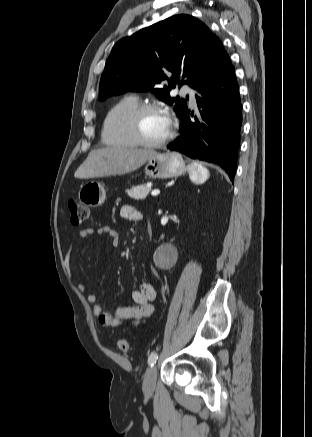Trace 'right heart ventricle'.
<instances>
[{
  "instance_id": "e07e8e85",
  "label": "right heart ventricle",
  "mask_w": 312,
  "mask_h": 437,
  "mask_svg": "<svg viewBox=\"0 0 312 437\" xmlns=\"http://www.w3.org/2000/svg\"><path fill=\"white\" fill-rule=\"evenodd\" d=\"M136 96H125L107 112L102 124V141L110 146L133 148L139 144L130 131V115L139 105Z\"/></svg>"
}]
</instances>
